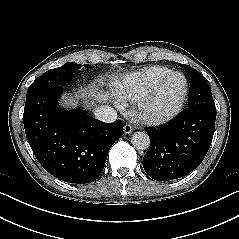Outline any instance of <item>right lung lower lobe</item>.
Masks as SVG:
<instances>
[{
  "instance_id": "98d812e1",
  "label": "right lung lower lobe",
  "mask_w": 239,
  "mask_h": 239,
  "mask_svg": "<svg viewBox=\"0 0 239 239\" xmlns=\"http://www.w3.org/2000/svg\"><path fill=\"white\" fill-rule=\"evenodd\" d=\"M62 85L26 95V138L47 172L70 183H91L104 169L110 147L123 135V123H103L80 109H57Z\"/></svg>"
}]
</instances>
